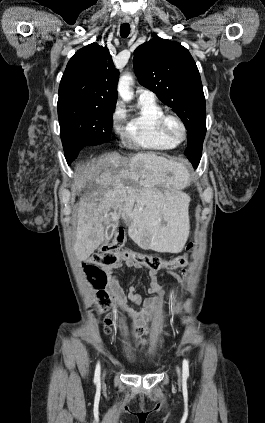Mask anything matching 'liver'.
<instances>
[{
    "label": "liver",
    "instance_id": "liver-1",
    "mask_svg": "<svg viewBox=\"0 0 265 423\" xmlns=\"http://www.w3.org/2000/svg\"><path fill=\"white\" fill-rule=\"evenodd\" d=\"M93 167L89 187L94 182L98 189L82 197L78 208L73 250L79 261L87 260L103 243L104 226L120 217L141 248L182 251L190 231V200L182 192L189 181L186 163L153 152L137 153L127 162L114 152L99 157ZM82 183L77 181L75 187L80 189Z\"/></svg>",
    "mask_w": 265,
    "mask_h": 423
}]
</instances>
